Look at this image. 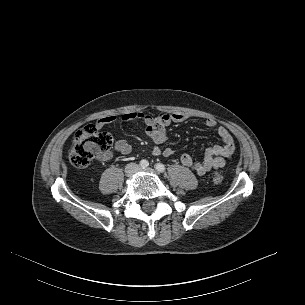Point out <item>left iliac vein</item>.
<instances>
[{"label":"left iliac vein","instance_id":"obj_1","mask_svg":"<svg viewBox=\"0 0 305 305\" xmlns=\"http://www.w3.org/2000/svg\"><path fill=\"white\" fill-rule=\"evenodd\" d=\"M142 171L150 172V173H155V171L153 169H151V168L142 169Z\"/></svg>","mask_w":305,"mask_h":305}]
</instances>
